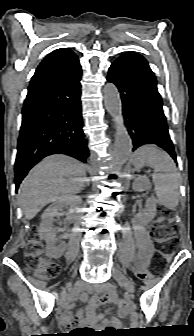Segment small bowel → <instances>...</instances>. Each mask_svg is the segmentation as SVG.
<instances>
[{
  "instance_id": "obj_1",
  "label": "small bowel",
  "mask_w": 194,
  "mask_h": 336,
  "mask_svg": "<svg viewBox=\"0 0 194 336\" xmlns=\"http://www.w3.org/2000/svg\"><path fill=\"white\" fill-rule=\"evenodd\" d=\"M135 237L138 246V253L136 255V266L140 271H146L149 265V258L152 252V243L149 239V236L144 228H137L135 230ZM75 297H79L82 300L88 299V294L86 292L78 291L74 295ZM116 300L115 288L112 284H105L101 289L100 293L95 295L92 302L99 303H108ZM69 307L72 306L71 301H69ZM92 309L87 311V315L90 316ZM107 314L112 315L111 309H107ZM112 320L116 318L111 316ZM85 316L83 314H78L75 318L76 323L83 325L85 323ZM72 319L68 310H66L61 316V322L65 325H69Z\"/></svg>"
}]
</instances>
